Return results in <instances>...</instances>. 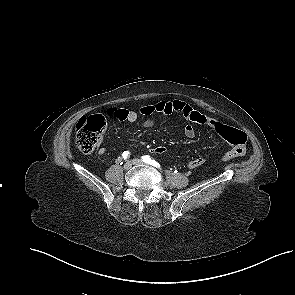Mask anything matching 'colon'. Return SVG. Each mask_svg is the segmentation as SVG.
Instances as JSON below:
<instances>
[{"label": "colon", "mask_w": 295, "mask_h": 295, "mask_svg": "<svg viewBox=\"0 0 295 295\" xmlns=\"http://www.w3.org/2000/svg\"><path fill=\"white\" fill-rule=\"evenodd\" d=\"M105 119L101 115L82 117L76 125V143L84 153H91L98 146L105 129ZM221 136L226 139L232 149L223 155L224 160L244 156L246 152V135L239 129L224 125L220 127ZM155 153H163L164 147L153 149Z\"/></svg>", "instance_id": "1"}]
</instances>
